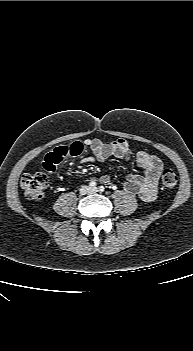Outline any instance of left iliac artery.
<instances>
[{
	"label": "left iliac artery",
	"instance_id": "left-iliac-artery-1",
	"mask_svg": "<svg viewBox=\"0 0 193 351\" xmlns=\"http://www.w3.org/2000/svg\"><path fill=\"white\" fill-rule=\"evenodd\" d=\"M105 190L104 186L99 187V191L103 192Z\"/></svg>",
	"mask_w": 193,
	"mask_h": 351
}]
</instances>
